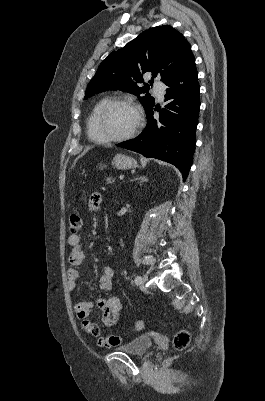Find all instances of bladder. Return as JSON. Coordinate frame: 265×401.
Returning a JSON list of instances; mask_svg holds the SVG:
<instances>
[{
    "label": "bladder",
    "mask_w": 265,
    "mask_h": 401,
    "mask_svg": "<svg viewBox=\"0 0 265 401\" xmlns=\"http://www.w3.org/2000/svg\"><path fill=\"white\" fill-rule=\"evenodd\" d=\"M151 346H153V339L147 336H139L132 339L128 344L117 347V349L132 355L143 356Z\"/></svg>",
    "instance_id": "obj_1"
}]
</instances>
